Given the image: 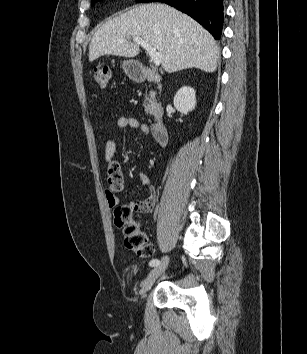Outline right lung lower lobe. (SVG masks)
Wrapping results in <instances>:
<instances>
[{
  "label": "right lung lower lobe",
  "instance_id": "right-lung-lower-lobe-1",
  "mask_svg": "<svg viewBox=\"0 0 307 354\" xmlns=\"http://www.w3.org/2000/svg\"><path fill=\"white\" fill-rule=\"evenodd\" d=\"M188 14L219 40L223 27V0H157Z\"/></svg>",
  "mask_w": 307,
  "mask_h": 354
}]
</instances>
